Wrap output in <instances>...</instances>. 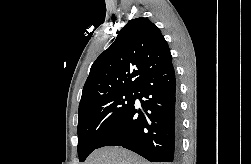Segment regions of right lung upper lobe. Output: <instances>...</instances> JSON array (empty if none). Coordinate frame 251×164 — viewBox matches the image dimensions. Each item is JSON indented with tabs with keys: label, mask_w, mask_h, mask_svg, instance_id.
<instances>
[{
	"label": "right lung upper lobe",
	"mask_w": 251,
	"mask_h": 164,
	"mask_svg": "<svg viewBox=\"0 0 251 164\" xmlns=\"http://www.w3.org/2000/svg\"><path fill=\"white\" fill-rule=\"evenodd\" d=\"M171 61L159 28L147 18L130 20L91 66L79 108L102 95L137 90L146 77L164 70Z\"/></svg>",
	"instance_id": "right-lung-upper-lobe-1"
}]
</instances>
